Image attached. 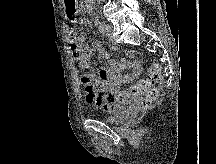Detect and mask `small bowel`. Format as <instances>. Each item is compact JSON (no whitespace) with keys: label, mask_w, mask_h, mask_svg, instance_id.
I'll return each mask as SVG.
<instances>
[{"label":"small bowel","mask_w":216,"mask_h":164,"mask_svg":"<svg viewBox=\"0 0 216 164\" xmlns=\"http://www.w3.org/2000/svg\"><path fill=\"white\" fill-rule=\"evenodd\" d=\"M75 23L81 25L83 21L76 20ZM69 42L72 56L82 69L87 70L81 78L86 101L97 109L112 113L118 107V104L111 101L109 97L115 95L122 85L139 75L140 67L138 61L131 59L118 63L109 56L101 43L96 40L94 45L97 56L106 59L108 66L91 70L93 49L84 43L83 35L72 29L69 32ZM123 70H129V73L122 75Z\"/></svg>","instance_id":"1"}]
</instances>
